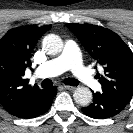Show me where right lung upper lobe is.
<instances>
[{"instance_id":"cb5924a9","label":"right lung upper lobe","mask_w":133,"mask_h":133,"mask_svg":"<svg viewBox=\"0 0 133 133\" xmlns=\"http://www.w3.org/2000/svg\"><path fill=\"white\" fill-rule=\"evenodd\" d=\"M51 27L22 26L10 29L0 40V104L11 115L30 111L45 89L28 85L25 70L38 39Z\"/></svg>"}]
</instances>
